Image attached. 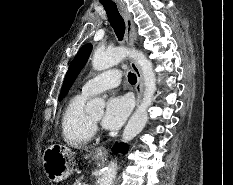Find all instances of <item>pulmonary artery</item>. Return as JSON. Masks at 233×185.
Masks as SVG:
<instances>
[{"mask_svg": "<svg viewBox=\"0 0 233 185\" xmlns=\"http://www.w3.org/2000/svg\"><path fill=\"white\" fill-rule=\"evenodd\" d=\"M122 73L119 69H108L87 80L82 86V94L92 96L101 91L117 87Z\"/></svg>", "mask_w": 233, "mask_h": 185, "instance_id": "1", "label": "pulmonary artery"}]
</instances>
